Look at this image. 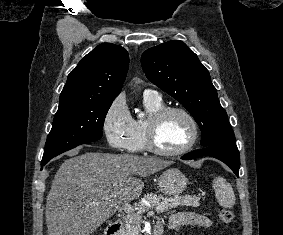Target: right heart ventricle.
Returning <instances> with one entry per match:
<instances>
[{"mask_svg":"<svg viewBox=\"0 0 283 235\" xmlns=\"http://www.w3.org/2000/svg\"><path fill=\"white\" fill-rule=\"evenodd\" d=\"M143 103L150 117L152 114L165 107L161 97L144 95ZM148 119H132L131 132L127 141V149L130 152L145 151V126Z\"/></svg>","mask_w":283,"mask_h":235,"instance_id":"1","label":"right heart ventricle"}]
</instances>
